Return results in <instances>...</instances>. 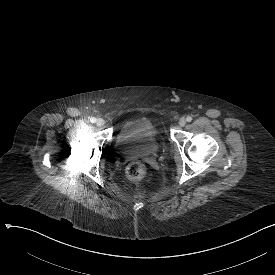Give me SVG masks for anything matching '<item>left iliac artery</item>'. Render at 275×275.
<instances>
[{
	"mask_svg": "<svg viewBox=\"0 0 275 275\" xmlns=\"http://www.w3.org/2000/svg\"><path fill=\"white\" fill-rule=\"evenodd\" d=\"M186 121L187 122H191L192 121V117L191 116H187Z\"/></svg>",
	"mask_w": 275,
	"mask_h": 275,
	"instance_id": "44dca946",
	"label": "left iliac artery"
}]
</instances>
